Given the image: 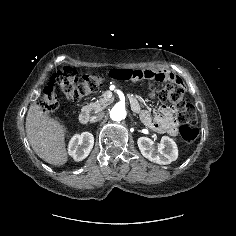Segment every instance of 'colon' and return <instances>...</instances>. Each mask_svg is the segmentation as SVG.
I'll list each match as a JSON object with an SVG mask.
<instances>
[{"label":"colon","mask_w":236,"mask_h":236,"mask_svg":"<svg viewBox=\"0 0 236 236\" xmlns=\"http://www.w3.org/2000/svg\"><path fill=\"white\" fill-rule=\"evenodd\" d=\"M103 81V77L96 74L79 75L70 67L56 71L50 81L43 89L40 108L44 113H53L58 108L56 87L72 101H78L88 94L97 91ZM152 94L161 102L171 103L179 109L178 117L184 123L179 132L183 141L187 144L193 143L198 137V130L195 125L198 116L195 107L190 104L181 105L184 90L174 83H167L159 88L152 87Z\"/></svg>","instance_id":"colon-1"}]
</instances>
